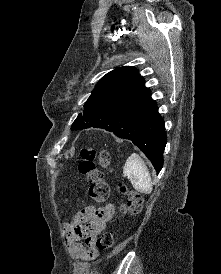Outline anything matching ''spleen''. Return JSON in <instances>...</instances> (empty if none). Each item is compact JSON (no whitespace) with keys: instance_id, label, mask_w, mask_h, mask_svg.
Instances as JSON below:
<instances>
[{"instance_id":"obj_1","label":"spleen","mask_w":221,"mask_h":274,"mask_svg":"<svg viewBox=\"0 0 221 274\" xmlns=\"http://www.w3.org/2000/svg\"><path fill=\"white\" fill-rule=\"evenodd\" d=\"M123 174L130 179L134 189L149 194L152 191V181L149 170L141 157L132 153L123 166Z\"/></svg>"}]
</instances>
